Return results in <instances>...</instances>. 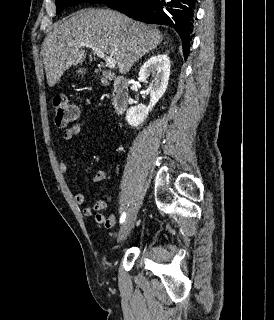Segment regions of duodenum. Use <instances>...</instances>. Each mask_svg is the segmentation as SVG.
Instances as JSON below:
<instances>
[{"instance_id":"obj_1","label":"duodenum","mask_w":274,"mask_h":320,"mask_svg":"<svg viewBox=\"0 0 274 320\" xmlns=\"http://www.w3.org/2000/svg\"><path fill=\"white\" fill-rule=\"evenodd\" d=\"M129 103V83L124 78H117L113 82L112 107L116 113L123 112Z\"/></svg>"}]
</instances>
